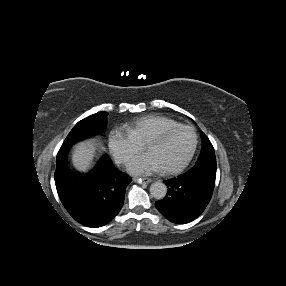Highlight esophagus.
<instances>
[{
    "mask_svg": "<svg viewBox=\"0 0 286 286\" xmlns=\"http://www.w3.org/2000/svg\"><path fill=\"white\" fill-rule=\"evenodd\" d=\"M135 182H139V183H144V184H148L152 182V179L150 178H134Z\"/></svg>",
    "mask_w": 286,
    "mask_h": 286,
    "instance_id": "34e87169",
    "label": "esophagus"
}]
</instances>
